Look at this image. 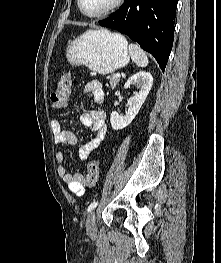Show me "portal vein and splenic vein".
I'll return each instance as SVG.
<instances>
[{
  "label": "portal vein and splenic vein",
  "mask_w": 221,
  "mask_h": 263,
  "mask_svg": "<svg viewBox=\"0 0 221 263\" xmlns=\"http://www.w3.org/2000/svg\"><path fill=\"white\" fill-rule=\"evenodd\" d=\"M115 77L120 78L121 77L120 73H116Z\"/></svg>",
  "instance_id": "18ae733b"
}]
</instances>
